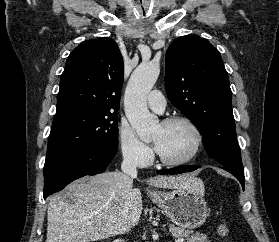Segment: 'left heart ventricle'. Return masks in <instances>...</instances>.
<instances>
[{
    "label": "left heart ventricle",
    "mask_w": 279,
    "mask_h": 242,
    "mask_svg": "<svg viewBox=\"0 0 279 242\" xmlns=\"http://www.w3.org/2000/svg\"><path fill=\"white\" fill-rule=\"evenodd\" d=\"M157 151L167 159H180L188 155L194 144L191 129L183 123L158 124L152 134Z\"/></svg>",
    "instance_id": "left-heart-ventricle-1"
}]
</instances>
